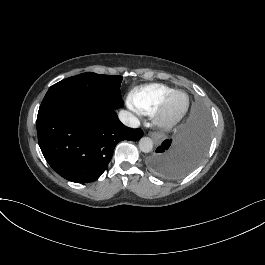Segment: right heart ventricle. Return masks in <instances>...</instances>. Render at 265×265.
<instances>
[{
  "label": "right heart ventricle",
  "instance_id": "e07e8e85",
  "mask_svg": "<svg viewBox=\"0 0 265 265\" xmlns=\"http://www.w3.org/2000/svg\"><path fill=\"white\" fill-rule=\"evenodd\" d=\"M173 92V89L161 85H152L137 90L133 94L132 104L138 113L152 116L159 111L165 100Z\"/></svg>",
  "mask_w": 265,
  "mask_h": 265
}]
</instances>
